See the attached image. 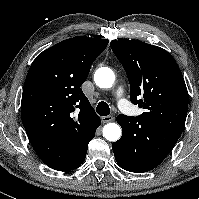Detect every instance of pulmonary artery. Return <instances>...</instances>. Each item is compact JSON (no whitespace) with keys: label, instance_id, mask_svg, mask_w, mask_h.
I'll return each instance as SVG.
<instances>
[{"label":"pulmonary artery","instance_id":"pulmonary-artery-1","mask_svg":"<svg viewBox=\"0 0 199 199\" xmlns=\"http://www.w3.org/2000/svg\"><path fill=\"white\" fill-rule=\"evenodd\" d=\"M115 97L118 103V106L123 109L126 104V95H125V90L123 86H118V88L115 91Z\"/></svg>","mask_w":199,"mask_h":199}]
</instances>
